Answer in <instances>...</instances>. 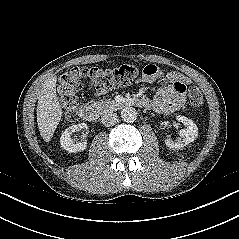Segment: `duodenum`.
<instances>
[{"instance_id": "1", "label": "duodenum", "mask_w": 239, "mask_h": 239, "mask_svg": "<svg viewBox=\"0 0 239 239\" xmlns=\"http://www.w3.org/2000/svg\"><path fill=\"white\" fill-rule=\"evenodd\" d=\"M120 105H133L137 106L141 109L149 110L152 107L151 102L148 99L144 98H135L128 100L124 103H121ZM97 111L94 107L89 106V105H83L81 106L79 110V115L82 120L87 121V122H92L97 118Z\"/></svg>"}]
</instances>
